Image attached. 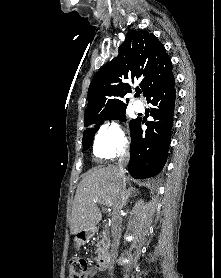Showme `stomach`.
Masks as SVG:
<instances>
[{"label": "stomach", "instance_id": "0dacf381", "mask_svg": "<svg viewBox=\"0 0 221 278\" xmlns=\"http://www.w3.org/2000/svg\"><path fill=\"white\" fill-rule=\"evenodd\" d=\"M86 242V238H83L82 236H76L75 237V248L79 249L82 245H84Z\"/></svg>", "mask_w": 221, "mask_h": 278}]
</instances>
